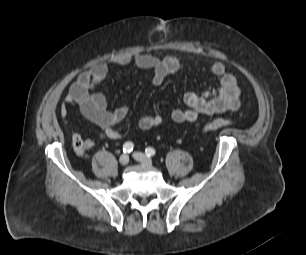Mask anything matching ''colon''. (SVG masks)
<instances>
[{"label": "colon", "instance_id": "5ec220e1", "mask_svg": "<svg viewBox=\"0 0 306 255\" xmlns=\"http://www.w3.org/2000/svg\"><path fill=\"white\" fill-rule=\"evenodd\" d=\"M232 121L229 119H223V118H218L215 120H212L208 123H206L203 127H202V132L207 133V132H211V131H216L219 129H222L224 127H227L229 125H231ZM72 145L73 148L75 150V152L78 155H82L85 150H86V145H85V141H83L79 136H74L72 139Z\"/></svg>", "mask_w": 306, "mask_h": 255}]
</instances>
